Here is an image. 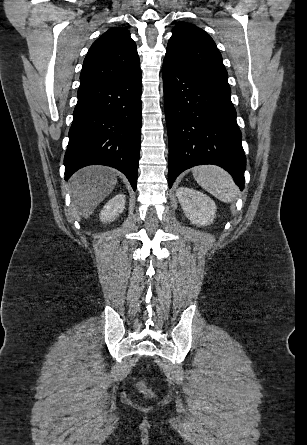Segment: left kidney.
Masks as SVG:
<instances>
[{"label": "left kidney", "instance_id": "5707ae66", "mask_svg": "<svg viewBox=\"0 0 307 445\" xmlns=\"http://www.w3.org/2000/svg\"><path fill=\"white\" fill-rule=\"evenodd\" d=\"M176 196L193 225L197 227H205L213 223L215 218L216 204L210 196L194 190V188H187V186H180L176 190Z\"/></svg>", "mask_w": 307, "mask_h": 445}]
</instances>
